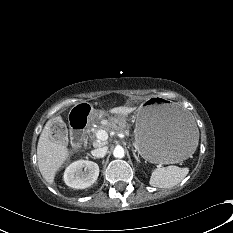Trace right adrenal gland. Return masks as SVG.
Wrapping results in <instances>:
<instances>
[{"instance_id":"1","label":"right adrenal gland","mask_w":233,"mask_h":233,"mask_svg":"<svg viewBox=\"0 0 233 233\" xmlns=\"http://www.w3.org/2000/svg\"><path fill=\"white\" fill-rule=\"evenodd\" d=\"M91 158H93V159H96L95 157H92V156H90Z\"/></svg>"}]
</instances>
